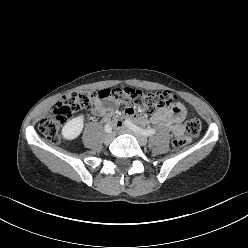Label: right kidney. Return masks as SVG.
Segmentation results:
<instances>
[{"instance_id": "right-kidney-1", "label": "right kidney", "mask_w": 248, "mask_h": 248, "mask_svg": "<svg viewBox=\"0 0 248 248\" xmlns=\"http://www.w3.org/2000/svg\"><path fill=\"white\" fill-rule=\"evenodd\" d=\"M84 126V116L79 115L64 125L62 129V136L66 140L76 139L82 132Z\"/></svg>"}]
</instances>
